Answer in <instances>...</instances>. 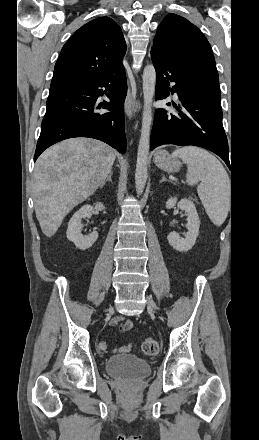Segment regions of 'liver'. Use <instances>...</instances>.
I'll return each mask as SVG.
<instances>
[{"label": "liver", "mask_w": 259, "mask_h": 440, "mask_svg": "<svg viewBox=\"0 0 259 440\" xmlns=\"http://www.w3.org/2000/svg\"><path fill=\"white\" fill-rule=\"evenodd\" d=\"M116 151L92 138H70L44 151L35 164L34 207L52 237L64 217L93 195L111 172Z\"/></svg>", "instance_id": "1"}]
</instances>
